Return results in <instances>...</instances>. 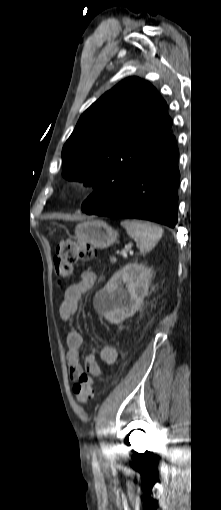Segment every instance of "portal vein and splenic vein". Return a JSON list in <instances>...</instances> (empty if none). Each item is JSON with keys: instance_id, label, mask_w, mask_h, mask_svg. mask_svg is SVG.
I'll use <instances>...</instances> for the list:
<instances>
[{"instance_id": "obj_1", "label": "portal vein and splenic vein", "mask_w": 221, "mask_h": 510, "mask_svg": "<svg viewBox=\"0 0 221 510\" xmlns=\"http://www.w3.org/2000/svg\"><path fill=\"white\" fill-rule=\"evenodd\" d=\"M128 249H129V247H128V246H126V247H125V250H123L121 253H122V254H125V253L127 252V250H128ZM116 260H117V259H116V257H112V258H111V262H116Z\"/></svg>"}]
</instances>
